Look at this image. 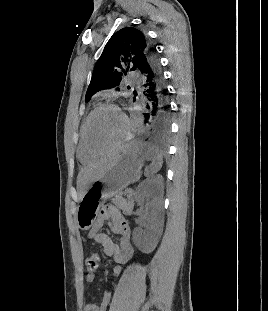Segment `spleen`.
Listing matches in <instances>:
<instances>
[{"label": "spleen", "instance_id": "obj_1", "mask_svg": "<svg viewBox=\"0 0 268 311\" xmlns=\"http://www.w3.org/2000/svg\"><path fill=\"white\" fill-rule=\"evenodd\" d=\"M147 149L148 153L146 158L147 160H151V165L145 169V176L151 177L161 169L163 158L160 152L153 147L147 146Z\"/></svg>", "mask_w": 268, "mask_h": 311}]
</instances>
